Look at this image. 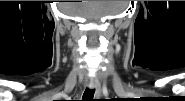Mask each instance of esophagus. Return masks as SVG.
Returning a JSON list of instances; mask_svg holds the SVG:
<instances>
[{"label": "esophagus", "mask_w": 185, "mask_h": 101, "mask_svg": "<svg viewBox=\"0 0 185 101\" xmlns=\"http://www.w3.org/2000/svg\"><path fill=\"white\" fill-rule=\"evenodd\" d=\"M90 89H93L95 91V97L99 98L100 97V85L99 82L96 78H92L90 81V85H89Z\"/></svg>", "instance_id": "1"}]
</instances>
